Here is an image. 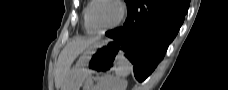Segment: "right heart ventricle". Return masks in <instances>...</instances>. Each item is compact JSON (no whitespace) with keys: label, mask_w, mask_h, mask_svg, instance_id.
Listing matches in <instances>:
<instances>
[{"label":"right heart ventricle","mask_w":228,"mask_h":90,"mask_svg":"<svg viewBox=\"0 0 228 90\" xmlns=\"http://www.w3.org/2000/svg\"><path fill=\"white\" fill-rule=\"evenodd\" d=\"M91 1L87 2L83 8V27L87 34H93L94 32L90 29L87 22V12L90 7Z\"/></svg>","instance_id":"right-heart-ventricle-1"}]
</instances>
